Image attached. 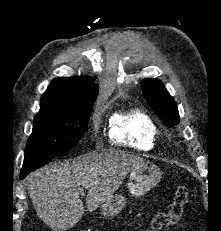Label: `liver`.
<instances>
[{
  "label": "liver",
  "instance_id": "liver-1",
  "mask_svg": "<svg viewBox=\"0 0 221 231\" xmlns=\"http://www.w3.org/2000/svg\"><path fill=\"white\" fill-rule=\"evenodd\" d=\"M143 163L142 158L126 153H88L33 172L27 177V187L37 215L53 231H61L73 227L84 215L80 199L84 189L88 190L87 211L92 212Z\"/></svg>",
  "mask_w": 221,
  "mask_h": 231
}]
</instances>
